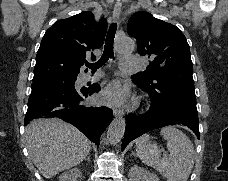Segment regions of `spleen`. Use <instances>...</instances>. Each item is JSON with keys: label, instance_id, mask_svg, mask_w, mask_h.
<instances>
[{"label": "spleen", "instance_id": "obj_1", "mask_svg": "<svg viewBox=\"0 0 228 181\" xmlns=\"http://www.w3.org/2000/svg\"><path fill=\"white\" fill-rule=\"evenodd\" d=\"M161 135L167 141L170 155L161 157L158 147L149 145V135H144L135 145L139 159L156 169L166 181H187L194 165L193 143L175 127H164Z\"/></svg>", "mask_w": 228, "mask_h": 181}]
</instances>
